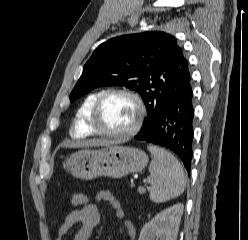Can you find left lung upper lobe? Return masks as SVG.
I'll list each match as a JSON object with an SVG mask.
<instances>
[{
    "label": "left lung upper lobe",
    "mask_w": 248,
    "mask_h": 240,
    "mask_svg": "<svg viewBox=\"0 0 248 240\" xmlns=\"http://www.w3.org/2000/svg\"><path fill=\"white\" fill-rule=\"evenodd\" d=\"M190 80L188 61L173 35L161 31L122 35L94 50L70 101L100 86L135 90L147 110L142 130L172 96L190 85Z\"/></svg>",
    "instance_id": "left-lung-upper-lobe-1"
}]
</instances>
